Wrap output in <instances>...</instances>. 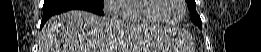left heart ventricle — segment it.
Listing matches in <instances>:
<instances>
[{
	"label": "left heart ventricle",
	"instance_id": "left-heart-ventricle-1",
	"mask_svg": "<svg viewBox=\"0 0 261 52\" xmlns=\"http://www.w3.org/2000/svg\"><path fill=\"white\" fill-rule=\"evenodd\" d=\"M165 2V9L160 12L162 18L175 21L177 20L182 13L181 6L178 3V0H163Z\"/></svg>",
	"mask_w": 261,
	"mask_h": 52
}]
</instances>
